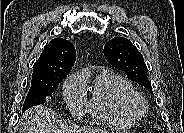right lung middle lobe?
Returning <instances> with one entry per match:
<instances>
[{
    "mask_svg": "<svg viewBox=\"0 0 184 133\" xmlns=\"http://www.w3.org/2000/svg\"><path fill=\"white\" fill-rule=\"evenodd\" d=\"M62 81L63 78H55L47 84L32 85L24 101L22 112L26 111L32 106L45 103V98L47 96H51Z\"/></svg>",
    "mask_w": 184,
    "mask_h": 133,
    "instance_id": "right-lung-middle-lobe-1",
    "label": "right lung middle lobe"
}]
</instances>
